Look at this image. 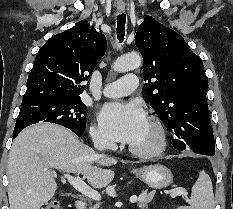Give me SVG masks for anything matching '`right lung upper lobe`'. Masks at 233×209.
Instances as JSON below:
<instances>
[{"mask_svg":"<svg viewBox=\"0 0 233 209\" xmlns=\"http://www.w3.org/2000/svg\"><path fill=\"white\" fill-rule=\"evenodd\" d=\"M107 41L88 21L52 36L38 51L22 103L46 99H80Z\"/></svg>","mask_w":233,"mask_h":209,"instance_id":"1","label":"right lung upper lobe"}]
</instances>
